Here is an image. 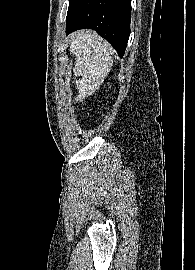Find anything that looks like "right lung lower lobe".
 <instances>
[{
  "instance_id": "1",
  "label": "right lung lower lobe",
  "mask_w": 195,
  "mask_h": 270,
  "mask_svg": "<svg viewBox=\"0 0 195 270\" xmlns=\"http://www.w3.org/2000/svg\"><path fill=\"white\" fill-rule=\"evenodd\" d=\"M131 0H74L67 12L66 34L90 28L123 56L130 35Z\"/></svg>"
}]
</instances>
